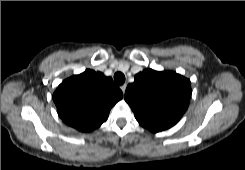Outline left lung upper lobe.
I'll use <instances>...</instances> for the list:
<instances>
[{"instance_id":"obj_1","label":"left lung upper lobe","mask_w":245,"mask_h":170,"mask_svg":"<svg viewBox=\"0 0 245 170\" xmlns=\"http://www.w3.org/2000/svg\"><path fill=\"white\" fill-rule=\"evenodd\" d=\"M127 86L125 100L139 124L152 132L174 126L191 98L190 80L172 71L143 70Z\"/></svg>"}]
</instances>
